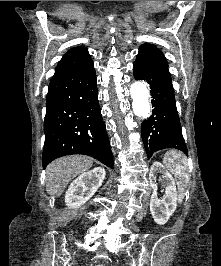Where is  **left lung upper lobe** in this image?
<instances>
[{"label": "left lung upper lobe", "instance_id": "1", "mask_svg": "<svg viewBox=\"0 0 221 266\" xmlns=\"http://www.w3.org/2000/svg\"><path fill=\"white\" fill-rule=\"evenodd\" d=\"M136 61L140 64L168 71V63L163 53L152 44H143L139 48Z\"/></svg>", "mask_w": 221, "mask_h": 266}]
</instances>
